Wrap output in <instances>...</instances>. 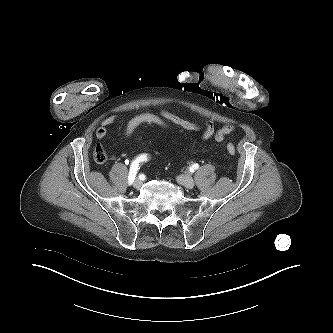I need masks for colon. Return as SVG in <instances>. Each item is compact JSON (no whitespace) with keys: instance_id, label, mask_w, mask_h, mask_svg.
Instances as JSON below:
<instances>
[{"instance_id":"5ec220e1","label":"colon","mask_w":333,"mask_h":333,"mask_svg":"<svg viewBox=\"0 0 333 333\" xmlns=\"http://www.w3.org/2000/svg\"><path fill=\"white\" fill-rule=\"evenodd\" d=\"M142 125H158L165 128H171L170 122L163 118L161 114L142 112L133 116L127 121L124 131L125 136L127 138L131 137L135 130ZM226 148L231 156L235 155V147L233 144L227 143ZM94 160L98 164H104L108 160L106 151L100 145H98L95 149Z\"/></svg>"}]
</instances>
